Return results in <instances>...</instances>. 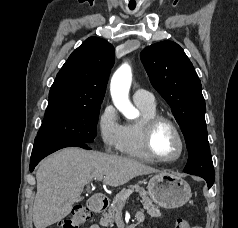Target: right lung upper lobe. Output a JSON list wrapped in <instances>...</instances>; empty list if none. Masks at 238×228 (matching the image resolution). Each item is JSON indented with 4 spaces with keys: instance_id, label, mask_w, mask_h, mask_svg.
<instances>
[{
    "instance_id": "obj_1",
    "label": "right lung upper lobe",
    "mask_w": 238,
    "mask_h": 228,
    "mask_svg": "<svg viewBox=\"0 0 238 228\" xmlns=\"http://www.w3.org/2000/svg\"><path fill=\"white\" fill-rule=\"evenodd\" d=\"M114 56V47L108 41L98 37L86 39L58 72L49 92L45 113L100 105Z\"/></svg>"
}]
</instances>
